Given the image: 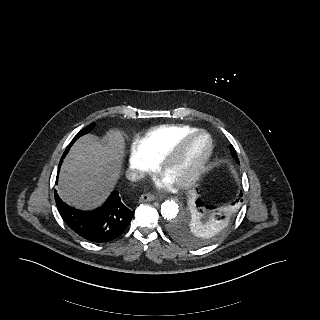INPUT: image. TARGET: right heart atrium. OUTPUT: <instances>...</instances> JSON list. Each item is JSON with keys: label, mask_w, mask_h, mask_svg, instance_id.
Here are the masks:
<instances>
[{"label": "right heart atrium", "mask_w": 320, "mask_h": 320, "mask_svg": "<svg viewBox=\"0 0 320 320\" xmlns=\"http://www.w3.org/2000/svg\"><path fill=\"white\" fill-rule=\"evenodd\" d=\"M127 164L136 176H142L152 171L156 164L153 160L146 157L136 146H134L129 154Z\"/></svg>", "instance_id": "d8ad5b80"}]
</instances>
